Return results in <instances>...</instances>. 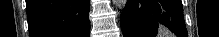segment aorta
Wrapping results in <instances>:
<instances>
[{"label":"aorta","mask_w":219,"mask_h":37,"mask_svg":"<svg viewBox=\"0 0 219 37\" xmlns=\"http://www.w3.org/2000/svg\"><path fill=\"white\" fill-rule=\"evenodd\" d=\"M113 3L118 8H124L126 6V0H113Z\"/></svg>","instance_id":"aorta-1"}]
</instances>
